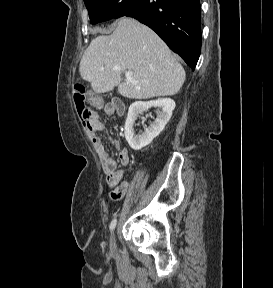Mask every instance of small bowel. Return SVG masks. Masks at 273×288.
Returning <instances> with one entry per match:
<instances>
[{
	"mask_svg": "<svg viewBox=\"0 0 273 288\" xmlns=\"http://www.w3.org/2000/svg\"><path fill=\"white\" fill-rule=\"evenodd\" d=\"M124 105L119 101H112L104 107V112L108 116L124 114ZM105 130V124L95 117L91 127L88 129L90 138L93 145L101 159L102 168L106 175L107 186L111 189L110 197L114 201H118L123 198L127 189L128 182L122 181L123 171L118 168L116 160L112 157L107 150L103 142L101 141L98 133ZM119 150V158L122 165H127L130 162V154L125 147L117 144Z\"/></svg>",
	"mask_w": 273,
	"mask_h": 288,
	"instance_id": "1",
	"label": "small bowel"
}]
</instances>
